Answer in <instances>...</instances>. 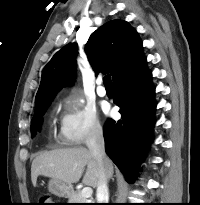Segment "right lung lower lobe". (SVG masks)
I'll return each instance as SVG.
<instances>
[{
	"instance_id": "obj_1",
	"label": "right lung lower lobe",
	"mask_w": 200,
	"mask_h": 205,
	"mask_svg": "<svg viewBox=\"0 0 200 205\" xmlns=\"http://www.w3.org/2000/svg\"><path fill=\"white\" fill-rule=\"evenodd\" d=\"M151 79L145 59L114 83V103L122 119H108L103 128L105 151L130 183L152 138L156 102Z\"/></svg>"
}]
</instances>
